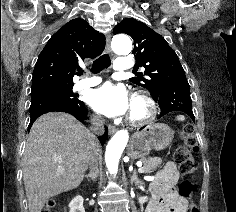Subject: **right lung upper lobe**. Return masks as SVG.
<instances>
[{
  "mask_svg": "<svg viewBox=\"0 0 236 212\" xmlns=\"http://www.w3.org/2000/svg\"><path fill=\"white\" fill-rule=\"evenodd\" d=\"M105 48V37L87 21L76 18L62 26L47 42L38 56L31 92L49 87L70 86L85 58H95Z\"/></svg>",
  "mask_w": 236,
  "mask_h": 212,
  "instance_id": "cb5924a9",
  "label": "right lung upper lobe"
}]
</instances>
